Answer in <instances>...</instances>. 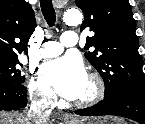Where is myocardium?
<instances>
[{"instance_id":"myocardium-1","label":"myocardium","mask_w":145,"mask_h":124,"mask_svg":"<svg viewBox=\"0 0 145 124\" xmlns=\"http://www.w3.org/2000/svg\"><path fill=\"white\" fill-rule=\"evenodd\" d=\"M87 78L94 84V92L86 99L73 102V105L79 108L93 106L100 102L105 96L106 86L102 76L93 72L90 73Z\"/></svg>"}]
</instances>
